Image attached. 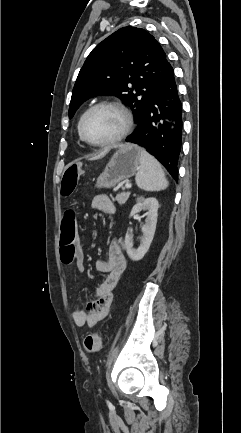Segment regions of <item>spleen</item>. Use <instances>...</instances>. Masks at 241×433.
Instances as JSON below:
<instances>
[{"mask_svg":"<svg viewBox=\"0 0 241 433\" xmlns=\"http://www.w3.org/2000/svg\"><path fill=\"white\" fill-rule=\"evenodd\" d=\"M135 181L137 186L144 191H161L168 187V181L160 163L144 149H141L140 169Z\"/></svg>","mask_w":241,"mask_h":433,"instance_id":"3e777b00","label":"spleen"}]
</instances>
